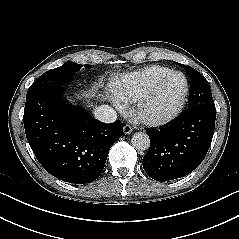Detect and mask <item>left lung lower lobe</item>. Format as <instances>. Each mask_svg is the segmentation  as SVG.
Instances as JSON below:
<instances>
[{"label": "left lung lower lobe", "mask_w": 239, "mask_h": 239, "mask_svg": "<svg viewBox=\"0 0 239 239\" xmlns=\"http://www.w3.org/2000/svg\"><path fill=\"white\" fill-rule=\"evenodd\" d=\"M214 102L201 103L184 111L168 127L147 130L150 148L143 157L145 172L157 181L183 177L203 161L213 138Z\"/></svg>", "instance_id": "0a47b994"}]
</instances>
